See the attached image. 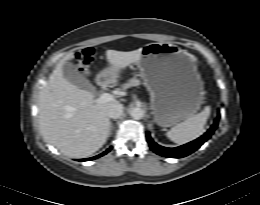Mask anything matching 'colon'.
I'll list each match as a JSON object with an SVG mask.
<instances>
[{
  "instance_id": "1",
  "label": "colon",
  "mask_w": 260,
  "mask_h": 205,
  "mask_svg": "<svg viewBox=\"0 0 260 205\" xmlns=\"http://www.w3.org/2000/svg\"><path fill=\"white\" fill-rule=\"evenodd\" d=\"M95 56V49L88 47L83 49L79 54V60L82 66H86L92 62Z\"/></svg>"
}]
</instances>
